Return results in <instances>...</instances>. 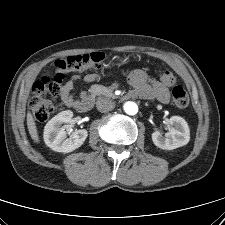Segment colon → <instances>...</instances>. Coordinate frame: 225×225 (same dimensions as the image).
Instances as JSON below:
<instances>
[{
    "label": "colon",
    "instance_id": "obj_1",
    "mask_svg": "<svg viewBox=\"0 0 225 225\" xmlns=\"http://www.w3.org/2000/svg\"><path fill=\"white\" fill-rule=\"evenodd\" d=\"M106 61L102 52H92L81 55L69 56L56 63L57 72L48 74L39 79L33 86L29 107L35 118L44 122L48 120L55 110V99L61 94V82L67 72H81L88 68H101ZM162 81L171 85L175 82V76L170 71L161 74ZM172 96L178 107L184 108L189 103L186 90L181 85H175L172 89Z\"/></svg>",
    "mask_w": 225,
    "mask_h": 225
}]
</instances>
